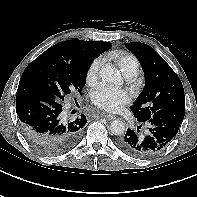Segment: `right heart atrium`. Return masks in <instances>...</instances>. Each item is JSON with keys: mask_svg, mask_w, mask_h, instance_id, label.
Returning <instances> with one entry per match:
<instances>
[{"mask_svg": "<svg viewBox=\"0 0 197 197\" xmlns=\"http://www.w3.org/2000/svg\"><path fill=\"white\" fill-rule=\"evenodd\" d=\"M102 65V59L96 58L89 65L86 72V81L89 85L94 86L98 83L100 67Z\"/></svg>", "mask_w": 197, "mask_h": 197, "instance_id": "obj_1", "label": "right heart atrium"}]
</instances>
